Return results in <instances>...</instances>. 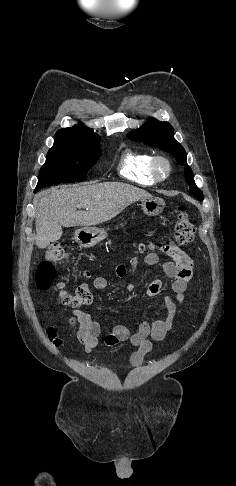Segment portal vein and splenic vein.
Wrapping results in <instances>:
<instances>
[{
	"mask_svg": "<svg viewBox=\"0 0 236 486\" xmlns=\"http://www.w3.org/2000/svg\"><path fill=\"white\" fill-rule=\"evenodd\" d=\"M78 208H84V206H78Z\"/></svg>",
	"mask_w": 236,
	"mask_h": 486,
	"instance_id": "18ae733b",
	"label": "portal vein and splenic vein"
}]
</instances>
